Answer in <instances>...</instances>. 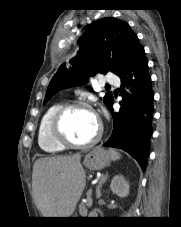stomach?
Here are the masks:
<instances>
[{"label":"stomach","mask_w":181,"mask_h":227,"mask_svg":"<svg viewBox=\"0 0 181 227\" xmlns=\"http://www.w3.org/2000/svg\"><path fill=\"white\" fill-rule=\"evenodd\" d=\"M112 158L108 151L102 148H94L85 155L83 164L89 170H101L107 167Z\"/></svg>","instance_id":"0dacf381"}]
</instances>
